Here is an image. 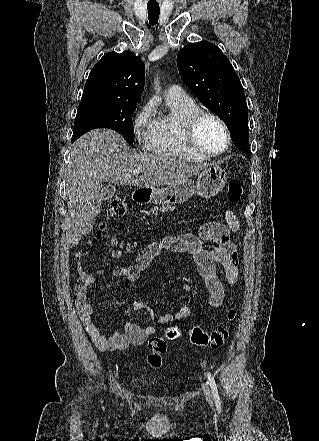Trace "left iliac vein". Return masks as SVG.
<instances>
[{"label": "left iliac vein", "instance_id": "left-iliac-vein-1", "mask_svg": "<svg viewBox=\"0 0 319 441\" xmlns=\"http://www.w3.org/2000/svg\"><path fill=\"white\" fill-rule=\"evenodd\" d=\"M202 391L205 395V398H206L208 404L210 406H212V404H213L212 403V395H211L210 389L207 384H205V383L202 384Z\"/></svg>", "mask_w": 319, "mask_h": 441}]
</instances>
